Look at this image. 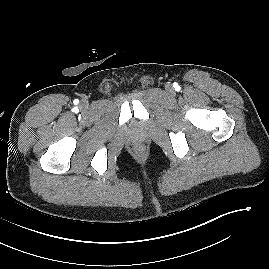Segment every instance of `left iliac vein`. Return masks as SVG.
Listing matches in <instances>:
<instances>
[{
	"label": "left iliac vein",
	"mask_w": 269,
	"mask_h": 269,
	"mask_svg": "<svg viewBox=\"0 0 269 269\" xmlns=\"http://www.w3.org/2000/svg\"><path fill=\"white\" fill-rule=\"evenodd\" d=\"M167 89H168V90H171V86H170V85H168V86H167Z\"/></svg>",
	"instance_id": "obj_1"
}]
</instances>
